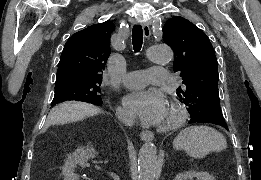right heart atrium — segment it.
<instances>
[{
  "mask_svg": "<svg viewBox=\"0 0 261 180\" xmlns=\"http://www.w3.org/2000/svg\"><path fill=\"white\" fill-rule=\"evenodd\" d=\"M118 112L121 114V115H124V111H123V109L122 108H118ZM126 119V121H128V118L126 117L125 118Z\"/></svg>",
  "mask_w": 261,
  "mask_h": 180,
  "instance_id": "d8ad5b80",
  "label": "right heart atrium"
}]
</instances>
